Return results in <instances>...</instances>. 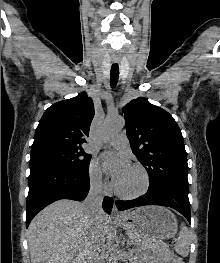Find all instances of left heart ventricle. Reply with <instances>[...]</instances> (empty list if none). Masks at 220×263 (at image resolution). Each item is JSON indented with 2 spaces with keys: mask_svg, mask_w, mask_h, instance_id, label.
I'll return each mask as SVG.
<instances>
[{
  "mask_svg": "<svg viewBox=\"0 0 220 263\" xmlns=\"http://www.w3.org/2000/svg\"><path fill=\"white\" fill-rule=\"evenodd\" d=\"M143 183L144 179L142 173L131 166L116 186L122 192L133 193L139 191L143 187Z\"/></svg>",
  "mask_w": 220,
  "mask_h": 263,
  "instance_id": "b2bd125f",
  "label": "left heart ventricle"
}]
</instances>
